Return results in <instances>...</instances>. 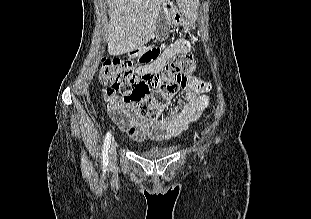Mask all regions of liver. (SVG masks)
I'll use <instances>...</instances> for the list:
<instances>
[{"label": "liver", "instance_id": "obj_1", "mask_svg": "<svg viewBox=\"0 0 311 219\" xmlns=\"http://www.w3.org/2000/svg\"><path fill=\"white\" fill-rule=\"evenodd\" d=\"M166 0H107L111 23L108 52L117 56L134 51L153 37L162 3ZM179 10L189 19L197 17L198 0H176Z\"/></svg>", "mask_w": 311, "mask_h": 219}]
</instances>
